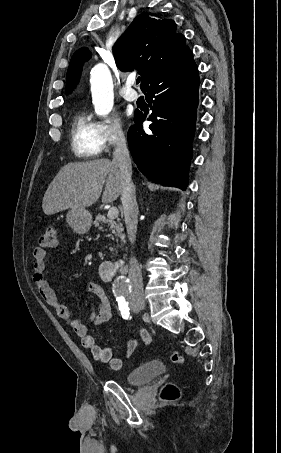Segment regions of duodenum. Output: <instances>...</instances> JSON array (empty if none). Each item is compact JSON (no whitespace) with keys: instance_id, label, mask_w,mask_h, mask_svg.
Wrapping results in <instances>:
<instances>
[{"instance_id":"1","label":"duodenum","mask_w":281,"mask_h":453,"mask_svg":"<svg viewBox=\"0 0 281 453\" xmlns=\"http://www.w3.org/2000/svg\"><path fill=\"white\" fill-rule=\"evenodd\" d=\"M125 259L104 261L99 268L100 276L104 281H111L119 272L124 270Z\"/></svg>"}]
</instances>
